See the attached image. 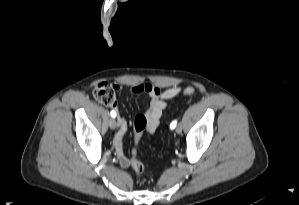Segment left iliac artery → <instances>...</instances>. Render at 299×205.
Listing matches in <instances>:
<instances>
[{
    "label": "left iliac artery",
    "mask_w": 299,
    "mask_h": 205,
    "mask_svg": "<svg viewBox=\"0 0 299 205\" xmlns=\"http://www.w3.org/2000/svg\"><path fill=\"white\" fill-rule=\"evenodd\" d=\"M176 125H177V121L174 120V121L170 124V128H171V129H174V128L176 127Z\"/></svg>",
    "instance_id": "44dca946"
}]
</instances>
